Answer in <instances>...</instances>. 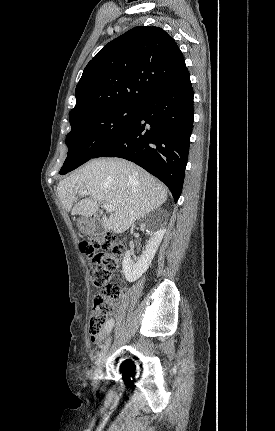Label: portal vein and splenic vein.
I'll return each instance as SVG.
<instances>
[{"instance_id":"1","label":"portal vein and splenic vein","mask_w":275,"mask_h":431,"mask_svg":"<svg viewBox=\"0 0 275 431\" xmlns=\"http://www.w3.org/2000/svg\"><path fill=\"white\" fill-rule=\"evenodd\" d=\"M79 193H80V195H89L90 194V192H88V191H80ZM103 208L107 212H113L114 211L113 206L111 204H108V203H103Z\"/></svg>"}]
</instances>
